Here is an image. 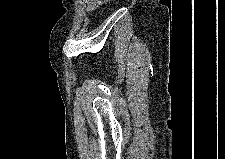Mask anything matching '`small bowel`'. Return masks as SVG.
<instances>
[{"label": "small bowel", "mask_w": 225, "mask_h": 159, "mask_svg": "<svg viewBox=\"0 0 225 159\" xmlns=\"http://www.w3.org/2000/svg\"><path fill=\"white\" fill-rule=\"evenodd\" d=\"M101 4V1L99 0H93L88 2V10L93 11L95 10L99 5Z\"/></svg>", "instance_id": "small-bowel-1"}]
</instances>
